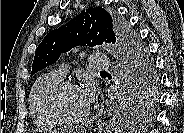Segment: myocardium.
<instances>
[{
	"instance_id": "f54148a6",
	"label": "myocardium",
	"mask_w": 184,
	"mask_h": 133,
	"mask_svg": "<svg viewBox=\"0 0 184 133\" xmlns=\"http://www.w3.org/2000/svg\"><path fill=\"white\" fill-rule=\"evenodd\" d=\"M69 88H79V86L75 82L70 80H62L60 83H58L49 94L48 107L50 113L57 120L58 124H65L68 126H78L85 123L88 120L90 110L88 109V111L82 117L77 119H71L63 115V113L60 111L59 100L61 94L66 89Z\"/></svg>"
}]
</instances>
